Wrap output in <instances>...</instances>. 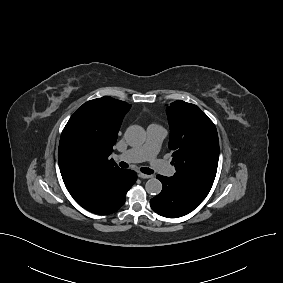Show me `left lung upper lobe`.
I'll return each instance as SVG.
<instances>
[{
    "label": "left lung upper lobe",
    "mask_w": 283,
    "mask_h": 283,
    "mask_svg": "<svg viewBox=\"0 0 283 283\" xmlns=\"http://www.w3.org/2000/svg\"><path fill=\"white\" fill-rule=\"evenodd\" d=\"M173 178L204 200L217 172L219 141L215 125L191 103L178 100L167 107Z\"/></svg>",
    "instance_id": "5c2ea615"
}]
</instances>
